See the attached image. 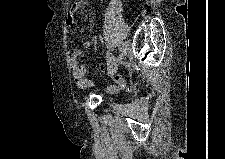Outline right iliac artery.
Segmentation results:
<instances>
[{"label": "right iliac artery", "instance_id": "right-iliac-artery-1", "mask_svg": "<svg viewBox=\"0 0 225 159\" xmlns=\"http://www.w3.org/2000/svg\"><path fill=\"white\" fill-rule=\"evenodd\" d=\"M121 49H122V47H121V45H119V50L121 51Z\"/></svg>", "mask_w": 225, "mask_h": 159}]
</instances>
